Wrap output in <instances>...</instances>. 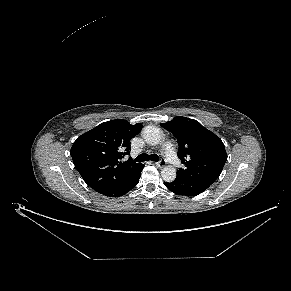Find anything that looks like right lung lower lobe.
<instances>
[{"label": "right lung lower lobe", "instance_id": "right-lung-lower-lobe-1", "mask_svg": "<svg viewBox=\"0 0 291 291\" xmlns=\"http://www.w3.org/2000/svg\"><path fill=\"white\" fill-rule=\"evenodd\" d=\"M143 167L144 165H142V167L130 179L124 181L120 185L108 189H103L97 192L109 197H119L126 194L138 184Z\"/></svg>", "mask_w": 291, "mask_h": 291}]
</instances>
